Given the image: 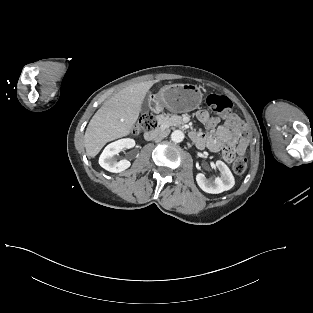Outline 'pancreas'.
<instances>
[{
	"label": "pancreas",
	"mask_w": 313,
	"mask_h": 313,
	"mask_svg": "<svg viewBox=\"0 0 313 313\" xmlns=\"http://www.w3.org/2000/svg\"><path fill=\"white\" fill-rule=\"evenodd\" d=\"M158 125L162 128L168 129L173 126H183L182 118L173 114H161L157 116Z\"/></svg>",
	"instance_id": "cf45deb5"
}]
</instances>
